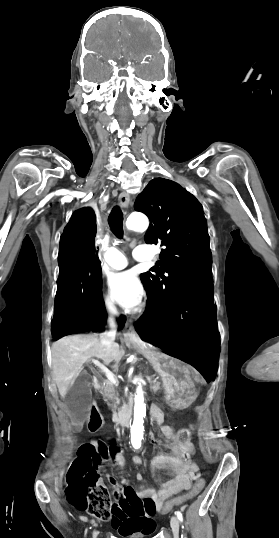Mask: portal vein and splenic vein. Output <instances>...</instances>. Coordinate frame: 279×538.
I'll return each mask as SVG.
<instances>
[{
	"label": "portal vein and splenic vein",
	"mask_w": 279,
	"mask_h": 538,
	"mask_svg": "<svg viewBox=\"0 0 279 538\" xmlns=\"http://www.w3.org/2000/svg\"><path fill=\"white\" fill-rule=\"evenodd\" d=\"M91 363L94 366H98L100 370H103L105 372V376H107L108 380H110V383H113V386H118V381L116 380L114 374L106 368V366H103V364H100V362L97 360V356H92ZM151 383H157V380H151Z\"/></svg>",
	"instance_id": "obj_1"
}]
</instances>
